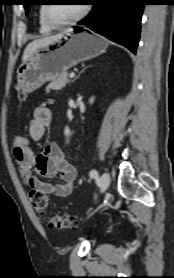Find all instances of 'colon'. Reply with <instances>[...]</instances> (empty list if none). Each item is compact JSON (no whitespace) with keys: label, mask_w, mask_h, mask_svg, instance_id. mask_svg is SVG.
<instances>
[{"label":"colon","mask_w":174,"mask_h":278,"mask_svg":"<svg viewBox=\"0 0 174 278\" xmlns=\"http://www.w3.org/2000/svg\"><path fill=\"white\" fill-rule=\"evenodd\" d=\"M28 138L17 135L14 138V146L22 149L29 144ZM29 199L33 208L41 215L47 214L48 198L46 194L38 190H32L29 193ZM73 221L69 217L54 216L49 221V226L54 229L68 228L72 225Z\"/></svg>","instance_id":"obj_1"}]
</instances>
